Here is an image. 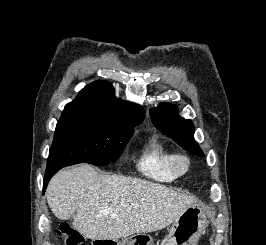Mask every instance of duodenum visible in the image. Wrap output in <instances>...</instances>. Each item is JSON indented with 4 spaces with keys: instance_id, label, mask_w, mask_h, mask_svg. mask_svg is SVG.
Returning <instances> with one entry per match:
<instances>
[{
    "instance_id": "1",
    "label": "duodenum",
    "mask_w": 266,
    "mask_h": 245,
    "mask_svg": "<svg viewBox=\"0 0 266 245\" xmlns=\"http://www.w3.org/2000/svg\"><path fill=\"white\" fill-rule=\"evenodd\" d=\"M116 242V237H94L93 245H111Z\"/></svg>"
}]
</instances>
